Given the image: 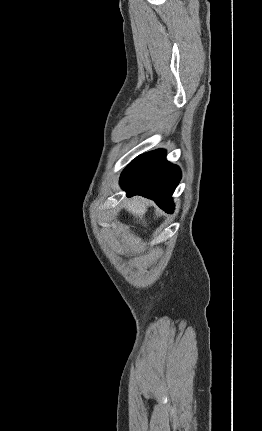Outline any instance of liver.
I'll list each match as a JSON object with an SVG mask.
<instances>
[{
    "mask_svg": "<svg viewBox=\"0 0 262 431\" xmlns=\"http://www.w3.org/2000/svg\"><path fill=\"white\" fill-rule=\"evenodd\" d=\"M146 205V201L143 198L137 197L127 202L125 208L134 216L142 218L147 211Z\"/></svg>",
    "mask_w": 262,
    "mask_h": 431,
    "instance_id": "1",
    "label": "liver"
}]
</instances>
